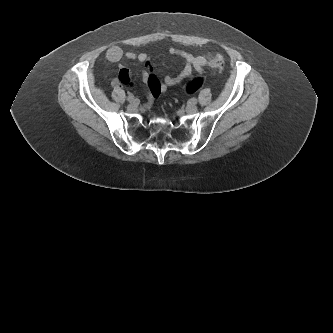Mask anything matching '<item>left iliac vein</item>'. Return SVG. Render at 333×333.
Listing matches in <instances>:
<instances>
[{"label":"left iliac vein","instance_id":"1","mask_svg":"<svg viewBox=\"0 0 333 333\" xmlns=\"http://www.w3.org/2000/svg\"><path fill=\"white\" fill-rule=\"evenodd\" d=\"M185 110H186L187 113L193 114V113H196L198 111V107L195 104L190 103L186 106Z\"/></svg>","mask_w":333,"mask_h":333}]
</instances>
